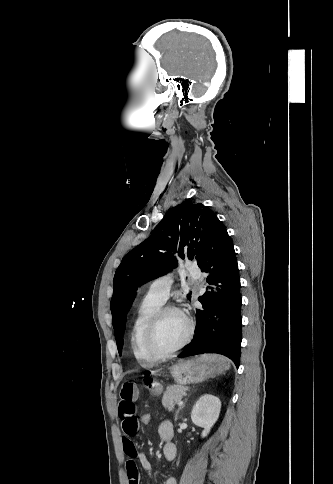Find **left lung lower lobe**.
I'll return each mask as SVG.
<instances>
[{
  "mask_svg": "<svg viewBox=\"0 0 333 484\" xmlns=\"http://www.w3.org/2000/svg\"><path fill=\"white\" fill-rule=\"evenodd\" d=\"M197 262L208 273L209 286L199 297L203 309L196 313L195 337L179 357L214 352L238 367L242 340L239 269L233 242L217 217L211 221Z\"/></svg>",
  "mask_w": 333,
  "mask_h": 484,
  "instance_id": "obj_1",
  "label": "left lung lower lobe"
}]
</instances>
